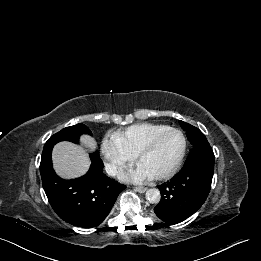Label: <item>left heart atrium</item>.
Returning <instances> with one entry per match:
<instances>
[{
	"label": "left heart atrium",
	"instance_id": "left-heart-atrium-1",
	"mask_svg": "<svg viewBox=\"0 0 261 261\" xmlns=\"http://www.w3.org/2000/svg\"><path fill=\"white\" fill-rule=\"evenodd\" d=\"M154 175L148 171L143 165L140 163L136 166V168L128 173L127 178L133 182H145L151 180Z\"/></svg>",
	"mask_w": 261,
	"mask_h": 261
}]
</instances>
